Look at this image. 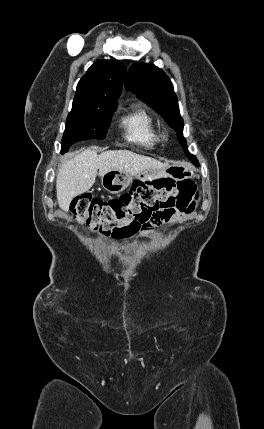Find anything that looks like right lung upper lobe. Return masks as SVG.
<instances>
[{"instance_id": "cb5924a9", "label": "right lung upper lobe", "mask_w": 264, "mask_h": 429, "mask_svg": "<svg viewBox=\"0 0 264 429\" xmlns=\"http://www.w3.org/2000/svg\"><path fill=\"white\" fill-rule=\"evenodd\" d=\"M125 72L120 61H96L79 81L74 100L117 103Z\"/></svg>"}]
</instances>
